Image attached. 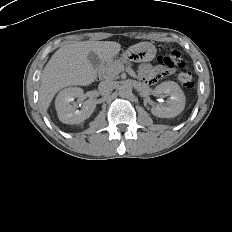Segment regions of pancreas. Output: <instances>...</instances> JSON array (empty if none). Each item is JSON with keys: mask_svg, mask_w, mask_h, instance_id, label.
<instances>
[{"mask_svg": "<svg viewBox=\"0 0 232 232\" xmlns=\"http://www.w3.org/2000/svg\"><path fill=\"white\" fill-rule=\"evenodd\" d=\"M125 65L131 66L127 60H115L107 62V64L102 67L103 77L107 79H115L116 76L124 70Z\"/></svg>", "mask_w": 232, "mask_h": 232, "instance_id": "1", "label": "pancreas"}]
</instances>
